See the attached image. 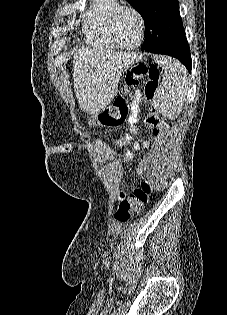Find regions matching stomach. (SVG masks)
<instances>
[{
	"label": "stomach",
	"mask_w": 227,
	"mask_h": 315,
	"mask_svg": "<svg viewBox=\"0 0 227 315\" xmlns=\"http://www.w3.org/2000/svg\"><path fill=\"white\" fill-rule=\"evenodd\" d=\"M95 120L97 121V123H100V121L98 120V115L95 116Z\"/></svg>",
	"instance_id": "obj_1"
}]
</instances>
